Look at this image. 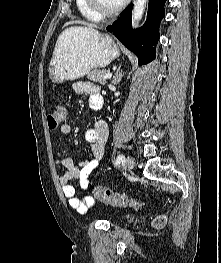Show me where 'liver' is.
<instances>
[{"label":"liver","instance_id":"1","mask_svg":"<svg viewBox=\"0 0 221 263\" xmlns=\"http://www.w3.org/2000/svg\"><path fill=\"white\" fill-rule=\"evenodd\" d=\"M73 24L84 25V27H82V28L88 29V30H94V28H97V26L94 25V24H90V23H87V22H84V21H79V20L69 21V22L65 23L64 26L73 25Z\"/></svg>","mask_w":221,"mask_h":263}]
</instances>
